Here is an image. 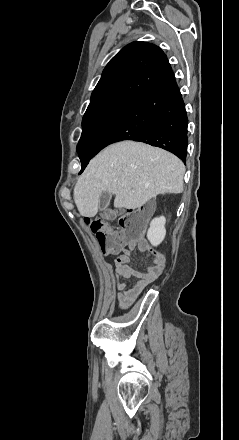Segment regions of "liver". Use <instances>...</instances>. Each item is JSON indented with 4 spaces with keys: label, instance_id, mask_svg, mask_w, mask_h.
<instances>
[{
    "label": "liver",
    "instance_id": "liver-1",
    "mask_svg": "<svg viewBox=\"0 0 239 440\" xmlns=\"http://www.w3.org/2000/svg\"><path fill=\"white\" fill-rule=\"evenodd\" d=\"M185 166L179 158L142 142L112 144L89 162L74 188L80 216L94 218L101 192L115 194L114 208H140L157 194H181Z\"/></svg>",
    "mask_w": 239,
    "mask_h": 440
}]
</instances>
